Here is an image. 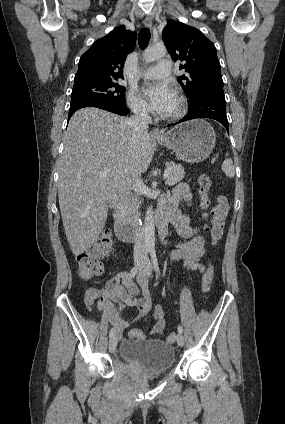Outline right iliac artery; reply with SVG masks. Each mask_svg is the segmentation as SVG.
<instances>
[{"instance_id": "right-iliac-artery-1", "label": "right iliac artery", "mask_w": 285, "mask_h": 424, "mask_svg": "<svg viewBox=\"0 0 285 424\" xmlns=\"http://www.w3.org/2000/svg\"><path fill=\"white\" fill-rule=\"evenodd\" d=\"M149 251H150V249H146V250H145V257L148 255ZM138 269H139V267H138V266H135V267H133V268L131 269L130 273H128V274H127V278L129 279V281H131V282H132L133 278L135 277V275H136V274H137V272H138ZM114 334H115V328H111V330H110V332H109V337H110V338H111V337H113V336H114Z\"/></svg>"}]
</instances>
